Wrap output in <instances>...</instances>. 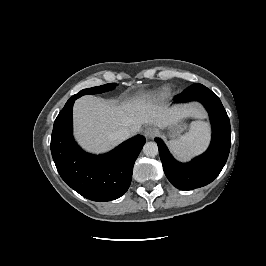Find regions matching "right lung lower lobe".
<instances>
[{"label":"right lung lower lobe","instance_id":"obj_1","mask_svg":"<svg viewBox=\"0 0 266 266\" xmlns=\"http://www.w3.org/2000/svg\"><path fill=\"white\" fill-rule=\"evenodd\" d=\"M68 100L58 114L51 136V153L61 178L76 192L93 201H111L129 188L134 163L146 142L137 135L102 154L83 151L73 139L72 110Z\"/></svg>","mask_w":266,"mask_h":266}]
</instances>
